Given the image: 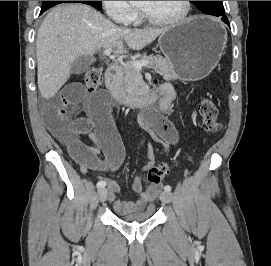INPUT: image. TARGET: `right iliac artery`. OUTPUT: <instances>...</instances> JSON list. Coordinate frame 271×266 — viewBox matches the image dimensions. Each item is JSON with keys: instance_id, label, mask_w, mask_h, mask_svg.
<instances>
[{"instance_id": "1", "label": "right iliac artery", "mask_w": 271, "mask_h": 266, "mask_svg": "<svg viewBox=\"0 0 271 266\" xmlns=\"http://www.w3.org/2000/svg\"><path fill=\"white\" fill-rule=\"evenodd\" d=\"M105 186H106V182L103 181V180H101V181H99V182L97 183V187H98V188H104Z\"/></svg>"}]
</instances>
